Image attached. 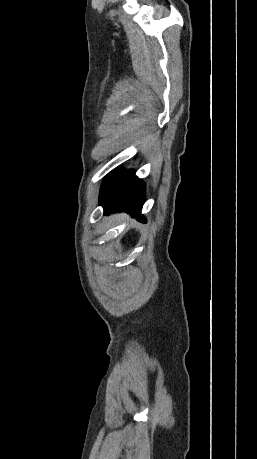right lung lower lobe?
<instances>
[{"mask_svg": "<svg viewBox=\"0 0 257 459\" xmlns=\"http://www.w3.org/2000/svg\"><path fill=\"white\" fill-rule=\"evenodd\" d=\"M99 202L105 214L125 211L144 221L140 212L145 202V185L134 171L117 168L106 176Z\"/></svg>", "mask_w": 257, "mask_h": 459, "instance_id": "1", "label": "right lung lower lobe"}]
</instances>
